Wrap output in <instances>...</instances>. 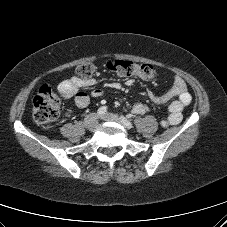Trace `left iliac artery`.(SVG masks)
Wrapping results in <instances>:
<instances>
[{
  "mask_svg": "<svg viewBox=\"0 0 227 227\" xmlns=\"http://www.w3.org/2000/svg\"><path fill=\"white\" fill-rule=\"evenodd\" d=\"M121 120L123 121L124 125L127 128H132L133 127L132 123L127 118H125L124 116H121Z\"/></svg>",
  "mask_w": 227,
  "mask_h": 227,
  "instance_id": "left-iliac-artery-1",
  "label": "left iliac artery"
}]
</instances>
